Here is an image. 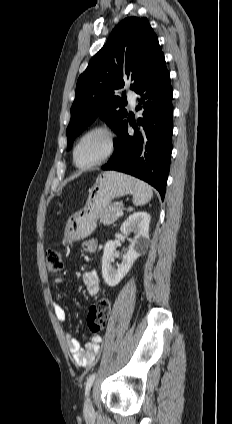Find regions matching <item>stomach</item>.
<instances>
[{
  "label": "stomach",
  "mask_w": 232,
  "mask_h": 424,
  "mask_svg": "<svg viewBox=\"0 0 232 424\" xmlns=\"http://www.w3.org/2000/svg\"><path fill=\"white\" fill-rule=\"evenodd\" d=\"M135 180L115 171L102 173L89 190V198L82 213L70 221L65 229L63 245L88 237L96 228L100 213L111 201L134 191Z\"/></svg>",
  "instance_id": "0dacf381"
}]
</instances>
